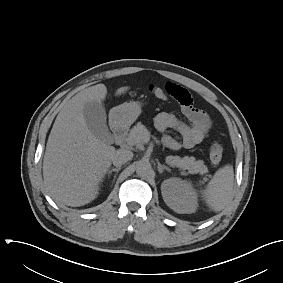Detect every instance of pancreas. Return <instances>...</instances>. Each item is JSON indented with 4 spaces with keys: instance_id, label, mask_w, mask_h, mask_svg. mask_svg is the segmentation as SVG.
Masks as SVG:
<instances>
[{
    "instance_id": "1",
    "label": "pancreas",
    "mask_w": 283,
    "mask_h": 283,
    "mask_svg": "<svg viewBox=\"0 0 283 283\" xmlns=\"http://www.w3.org/2000/svg\"><path fill=\"white\" fill-rule=\"evenodd\" d=\"M149 134L148 129L140 122L134 126L128 136L125 138V142L128 146H135L138 149L144 148V137ZM166 162L173 167L181 168L182 170H188L191 174H206L208 168L204 164L203 160H196L195 157L185 156H167Z\"/></svg>"
}]
</instances>
